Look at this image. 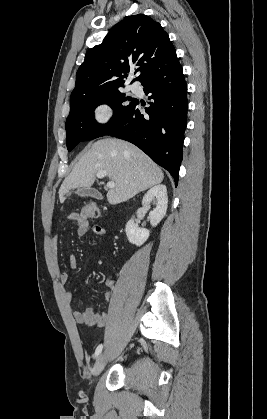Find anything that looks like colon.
I'll return each mask as SVG.
<instances>
[{
    "label": "colon",
    "instance_id": "1",
    "mask_svg": "<svg viewBox=\"0 0 267 419\" xmlns=\"http://www.w3.org/2000/svg\"><path fill=\"white\" fill-rule=\"evenodd\" d=\"M99 209L94 204L85 205L80 211L79 216L82 220L88 221L89 219L99 216Z\"/></svg>",
    "mask_w": 267,
    "mask_h": 419
}]
</instances>
